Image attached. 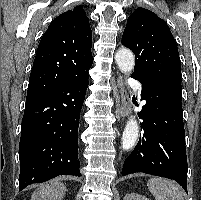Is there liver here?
I'll use <instances>...</instances> for the list:
<instances>
[{
    "label": "liver",
    "mask_w": 201,
    "mask_h": 200,
    "mask_svg": "<svg viewBox=\"0 0 201 200\" xmlns=\"http://www.w3.org/2000/svg\"><path fill=\"white\" fill-rule=\"evenodd\" d=\"M66 187L58 181L41 185L31 196V200H62Z\"/></svg>",
    "instance_id": "liver-1"
}]
</instances>
